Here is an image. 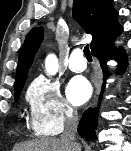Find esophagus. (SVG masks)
Returning a JSON list of instances; mask_svg holds the SVG:
<instances>
[{"label": "esophagus", "mask_w": 131, "mask_h": 151, "mask_svg": "<svg viewBox=\"0 0 131 151\" xmlns=\"http://www.w3.org/2000/svg\"><path fill=\"white\" fill-rule=\"evenodd\" d=\"M95 93H97V90H96V92ZM95 98H96V94H95V96H94V101H95Z\"/></svg>", "instance_id": "1"}]
</instances>
